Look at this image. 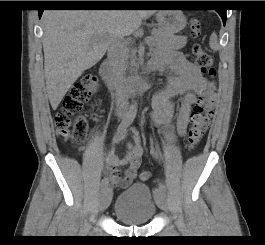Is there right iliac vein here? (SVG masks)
Returning a JSON list of instances; mask_svg holds the SVG:
<instances>
[{"label": "right iliac vein", "instance_id": "1", "mask_svg": "<svg viewBox=\"0 0 265 245\" xmlns=\"http://www.w3.org/2000/svg\"><path fill=\"white\" fill-rule=\"evenodd\" d=\"M111 199H112V189L110 187H106L105 189L102 190V194L100 197V204H99L100 211H104L105 209L108 208Z\"/></svg>", "mask_w": 265, "mask_h": 245}]
</instances>
